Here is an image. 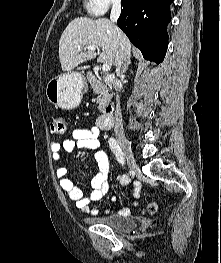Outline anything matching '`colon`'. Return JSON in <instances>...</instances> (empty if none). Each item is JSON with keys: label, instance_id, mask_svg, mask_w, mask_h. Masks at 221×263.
Segmentation results:
<instances>
[{"label": "colon", "instance_id": "1", "mask_svg": "<svg viewBox=\"0 0 221 263\" xmlns=\"http://www.w3.org/2000/svg\"><path fill=\"white\" fill-rule=\"evenodd\" d=\"M50 133L53 136H60L65 132V122L60 115H54L50 120ZM157 209V205L154 202L148 204L146 211L148 213H154Z\"/></svg>", "mask_w": 221, "mask_h": 263}]
</instances>
